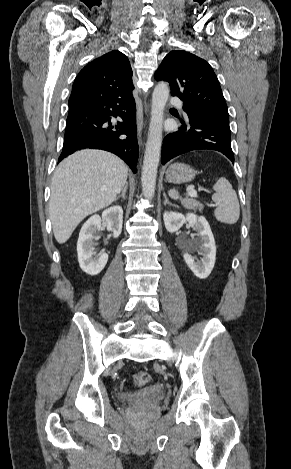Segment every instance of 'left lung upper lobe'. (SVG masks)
I'll list each match as a JSON object with an SVG mask.
<instances>
[{
  "label": "left lung upper lobe",
  "mask_w": 291,
  "mask_h": 469,
  "mask_svg": "<svg viewBox=\"0 0 291 469\" xmlns=\"http://www.w3.org/2000/svg\"><path fill=\"white\" fill-rule=\"evenodd\" d=\"M157 81H167L172 96L184 107L229 121L227 105L212 67L200 57L173 50L165 56L155 73Z\"/></svg>",
  "instance_id": "obj_1"
}]
</instances>
